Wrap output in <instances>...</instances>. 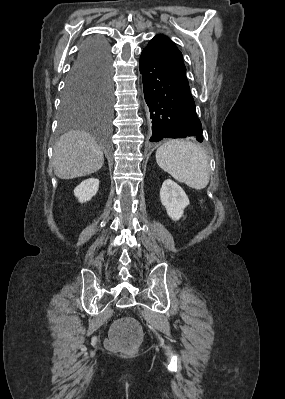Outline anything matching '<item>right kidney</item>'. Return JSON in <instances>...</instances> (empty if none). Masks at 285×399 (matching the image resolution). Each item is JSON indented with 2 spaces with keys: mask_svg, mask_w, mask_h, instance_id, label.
<instances>
[{
  "mask_svg": "<svg viewBox=\"0 0 285 399\" xmlns=\"http://www.w3.org/2000/svg\"><path fill=\"white\" fill-rule=\"evenodd\" d=\"M99 189V180L97 178H89L82 181L75 189L74 195L79 202H87L95 196Z\"/></svg>",
  "mask_w": 285,
  "mask_h": 399,
  "instance_id": "1",
  "label": "right kidney"
}]
</instances>
